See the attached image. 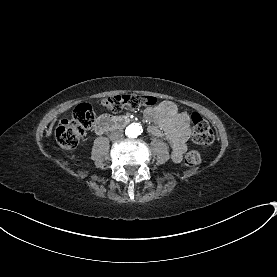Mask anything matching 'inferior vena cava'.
Instances as JSON below:
<instances>
[{"mask_svg":"<svg viewBox=\"0 0 277 277\" xmlns=\"http://www.w3.org/2000/svg\"><path fill=\"white\" fill-rule=\"evenodd\" d=\"M110 139L112 141L121 140V139H123V133L121 131H119V130H115V131L111 132Z\"/></svg>","mask_w":277,"mask_h":277,"instance_id":"602c4592","label":"inferior vena cava"}]
</instances>
